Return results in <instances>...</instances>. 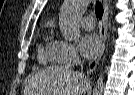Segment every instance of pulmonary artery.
<instances>
[{"label":"pulmonary artery","mask_w":135,"mask_h":95,"mask_svg":"<svg viewBox=\"0 0 135 95\" xmlns=\"http://www.w3.org/2000/svg\"><path fill=\"white\" fill-rule=\"evenodd\" d=\"M82 23H83V27L86 30H89V31L93 30L94 27H95L94 18L92 16H85V17H83Z\"/></svg>","instance_id":"pulmonary-artery-1"}]
</instances>
